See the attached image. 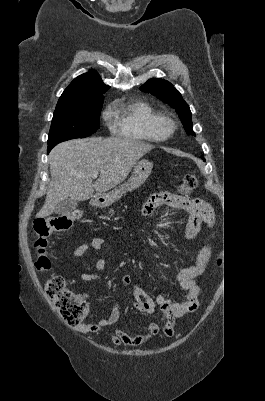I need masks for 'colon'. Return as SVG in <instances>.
I'll use <instances>...</instances> for the list:
<instances>
[{
    "instance_id": "colon-1",
    "label": "colon",
    "mask_w": 265,
    "mask_h": 401,
    "mask_svg": "<svg viewBox=\"0 0 265 401\" xmlns=\"http://www.w3.org/2000/svg\"><path fill=\"white\" fill-rule=\"evenodd\" d=\"M198 185V178L195 173L184 176L178 186V191L182 196H187L193 192ZM81 210L46 218H37L33 222L34 240L33 247L37 251L35 266L38 270L47 271L50 268V261L46 256L45 249L47 238L54 232L69 229L75 221L82 218ZM223 264V257L220 255L216 262V267ZM45 294L53 302L61 319L70 326L79 325L87 315L88 304L79 295L73 293L66 286L65 280L61 276H52L45 283ZM163 332L166 336L173 335L174 330L170 325H165Z\"/></svg>"
}]
</instances>
